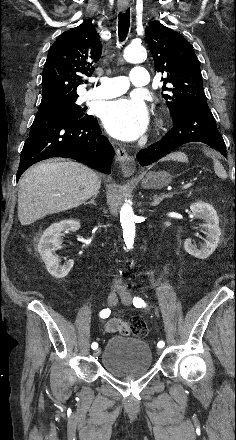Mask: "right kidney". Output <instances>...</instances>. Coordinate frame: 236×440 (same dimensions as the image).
I'll use <instances>...</instances> for the list:
<instances>
[{
    "label": "right kidney",
    "instance_id": "ca27d5eb",
    "mask_svg": "<svg viewBox=\"0 0 236 440\" xmlns=\"http://www.w3.org/2000/svg\"><path fill=\"white\" fill-rule=\"evenodd\" d=\"M79 229L80 223L78 221L63 220L48 227L40 238L38 251L47 271L57 279L67 276L74 264V261L70 259L64 265H60L58 258L53 255L55 249L61 248V232L64 230L77 231Z\"/></svg>",
    "mask_w": 236,
    "mask_h": 440
}]
</instances>
